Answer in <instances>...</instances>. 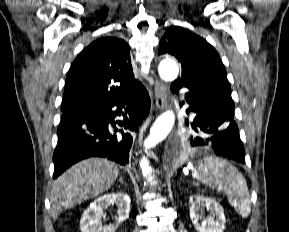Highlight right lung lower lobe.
Returning <instances> with one entry per match:
<instances>
[{"label": "right lung lower lobe", "instance_id": "98d812e1", "mask_svg": "<svg viewBox=\"0 0 289 232\" xmlns=\"http://www.w3.org/2000/svg\"><path fill=\"white\" fill-rule=\"evenodd\" d=\"M149 104L148 93L140 84L130 95L115 102L63 114L53 155V178L76 162L93 156L106 157L121 165L129 163L132 134L148 114ZM117 115H123L124 120L114 122ZM115 123L128 132L118 130ZM109 124L114 131L109 129Z\"/></svg>", "mask_w": 289, "mask_h": 232}]
</instances>
